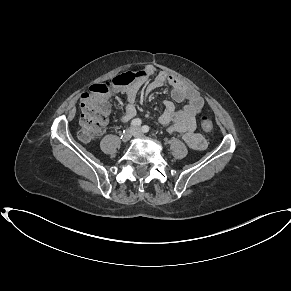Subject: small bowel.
Segmentation results:
<instances>
[{"label":"small bowel","instance_id":"1","mask_svg":"<svg viewBox=\"0 0 291 291\" xmlns=\"http://www.w3.org/2000/svg\"><path fill=\"white\" fill-rule=\"evenodd\" d=\"M154 77L148 86V91L169 86L171 87V96L177 102L186 101L187 104L177 109L172 101L164 102V111L159 118V123L163 125L170 124V132L183 133V140L192 149L202 150L205 147V140L196 133V115L203 108V99L195 88L188 83L177 79L166 72L156 73L151 65L143 68L137 78L131 84L124 86L120 92L126 97L124 112L120 117L121 122L132 119L136 114L134 105L135 97L143 82Z\"/></svg>","mask_w":291,"mask_h":291}]
</instances>
